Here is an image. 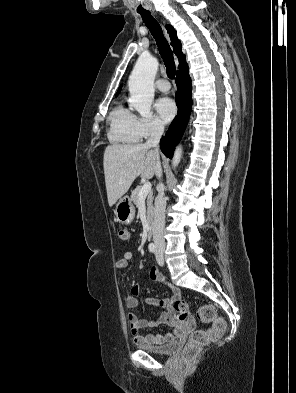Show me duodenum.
<instances>
[{"mask_svg":"<svg viewBox=\"0 0 296 393\" xmlns=\"http://www.w3.org/2000/svg\"><path fill=\"white\" fill-rule=\"evenodd\" d=\"M153 233H154V228H153L152 225H150L149 230H148V234H149L150 236H152Z\"/></svg>","mask_w":296,"mask_h":393,"instance_id":"duodenum-1","label":"duodenum"}]
</instances>
